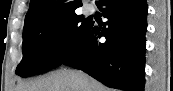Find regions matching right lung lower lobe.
<instances>
[{
  "label": "right lung lower lobe",
  "mask_w": 173,
  "mask_h": 91,
  "mask_svg": "<svg viewBox=\"0 0 173 91\" xmlns=\"http://www.w3.org/2000/svg\"><path fill=\"white\" fill-rule=\"evenodd\" d=\"M96 5L108 21L103 27L91 23L61 64L81 69L112 88L143 91L146 0H100ZM101 37L105 40H100Z\"/></svg>",
  "instance_id": "right-lung-lower-lobe-1"
}]
</instances>
